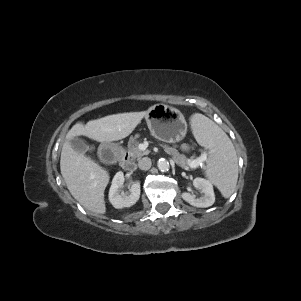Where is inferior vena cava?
Segmentation results:
<instances>
[{"label": "inferior vena cava", "mask_w": 301, "mask_h": 301, "mask_svg": "<svg viewBox=\"0 0 301 301\" xmlns=\"http://www.w3.org/2000/svg\"><path fill=\"white\" fill-rule=\"evenodd\" d=\"M152 165L151 159L148 157H144L139 160L138 166L141 170H148Z\"/></svg>", "instance_id": "inferior-vena-cava-1"}]
</instances>
